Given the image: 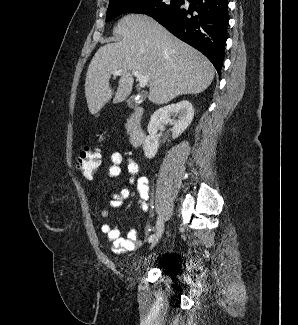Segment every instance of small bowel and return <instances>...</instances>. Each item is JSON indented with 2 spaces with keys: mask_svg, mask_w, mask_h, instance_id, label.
Listing matches in <instances>:
<instances>
[{
  "mask_svg": "<svg viewBox=\"0 0 298 325\" xmlns=\"http://www.w3.org/2000/svg\"><path fill=\"white\" fill-rule=\"evenodd\" d=\"M111 165L108 168V177L114 178L121 175L123 172L127 174L124 183L125 186L121 190L112 195L110 206L113 208H121L125 199L130 195V187L133 186L140 196V207L143 212H149L148 201L150 200L149 180L145 176L139 175V165L130 157H125L120 152L111 154ZM110 212L103 208L100 215L107 218ZM101 231L106 235L110 242V249L115 254H121L128 251H133L143 244V239L138 237L137 232L133 229L129 230L126 237H121L120 230L110 224H103Z\"/></svg>",
  "mask_w": 298,
  "mask_h": 325,
  "instance_id": "1",
  "label": "small bowel"
}]
</instances>
